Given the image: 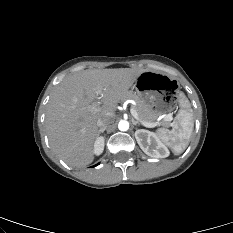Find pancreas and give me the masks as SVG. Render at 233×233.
<instances>
[{"instance_id":"1","label":"pancreas","mask_w":233,"mask_h":233,"mask_svg":"<svg viewBox=\"0 0 233 233\" xmlns=\"http://www.w3.org/2000/svg\"><path fill=\"white\" fill-rule=\"evenodd\" d=\"M125 99H133L136 102L137 106L134 107V109L138 113L140 120L145 122H153L158 118L159 113L153 111L151 106L146 104L135 93L129 92Z\"/></svg>"}]
</instances>
